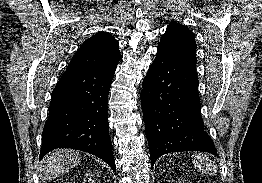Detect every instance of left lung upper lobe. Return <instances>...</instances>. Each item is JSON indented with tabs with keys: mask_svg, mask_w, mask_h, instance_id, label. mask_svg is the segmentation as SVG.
Listing matches in <instances>:
<instances>
[{
	"mask_svg": "<svg viewBox=\"0 0 262 183\" xmlns=\"http://www.w3.org/2000/svg\"><path fill=\"white\" fill-rule=\"evenodd\" d=\"M196 48L192 31L173 21L161 38L157 51L196 65Z\"/></svg>",
	"mask_w": 262,
	"mask_h": 183,
	"instance_id": "1",
	"label": "left lung upper lobe"
}]
</instances>
